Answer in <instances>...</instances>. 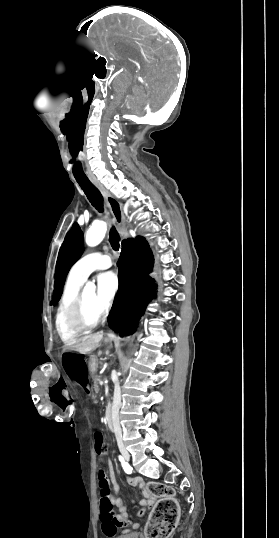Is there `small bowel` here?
Here are the masks:
<instances>
[{
  "instance_id": "small-bowel-1",
  "label": "small bowel",
  "mask_w": 279,
  "mask_h": 538,
  "mask_svg": "<svg viewBox=\"0 0 279 538\" xmlns=\"http://www.w3.org/2000/svg\"><path fill=\"white\" fill-rule=\"evenodd\" d=\"M108 474L113 485V495L111 496V502L118 508L119 513L111 518L102 516L103 532L106 535H112L118 532L127 533L129 532L130 526L133 529H137L139 527V523L132 522L128 518L127 505L129 501L120 497L119 495L120 488L116 481L113 466L110 461L108 462ZM128 483L134 488H139L144 495V499H142L139 503L140 509L138 511V516L143 517L146 514L147 509L152 505V497L147 490L144 481L141 478L129 476Z\"/></svg>"
}]
</instances>
